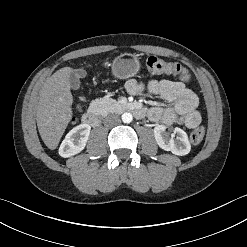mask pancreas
Wrapping results in <instances>:
<instances>
[{
	"label": "pancreas",
	"instance_id": "obj_1",
	"mask_svg": "<svg viewBox=\"0 0 247 247\" xmlns=\"http://www.w3.org/2000/svg\"><path fill=\"white\" fill-rule=\"evenodd\" d=\"M92 105L95 107L96 112L100 115L119 112L123 110L125 107L124 105L120 104L118 101L108 96L93 100Z\"/></svg>",
	"mask_w": 247,
	"mask_h": 247
}]
</instances>
